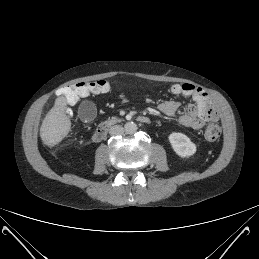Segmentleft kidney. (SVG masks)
<instances>
[{
  "instance_id": "5707ae66",
  "label": "left kidney",
  "mask_w": 259,
  "mask_h": 259,
  "mask_svg": "<svg viewBox=\"0 0 259 259\" xmlns=\"http://www.w3.org/2000/svg\"><path fill=\"white\" fill-rule=\"evenodd\" d=\"M168 139L174 152L180 157H190L196 152V145L183 133H172Z\"/></svg>"
}]
</instances>
